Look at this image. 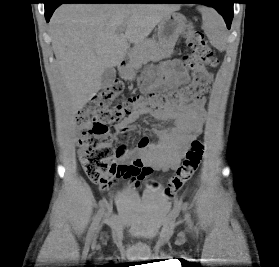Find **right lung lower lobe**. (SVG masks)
<instances>
[{"label": "right lung lower lobe", "instance_id": "obj_1", "mask_svg": "<svg viewBox=\"0 0 279 267\" xmlns=\"http://www.w3.org/2000/svg\"><path fill=\"white\" fill-rule=\"evenodd\" d=\"M155 0H46L45 18L49 22L55 9L63 3H152Z\"/></svg>", "mask_w": 279, "mask_h": 267}]
</instances>
